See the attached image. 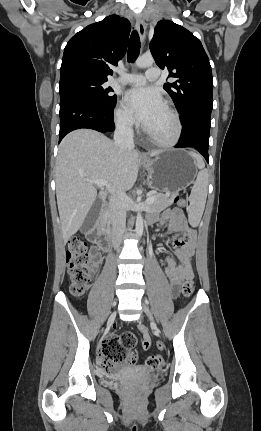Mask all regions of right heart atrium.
Here are the masks:
<instances>
[{
  "instance_id": "obj_1",
  "label": "right heart atrium",
  "mask_w": 261,
  "mask_h": 431,
  "mask_svg": "<svg viewBox=\"0 0 261 431\" xmlns=\"http://www.w3.org/2000/svg\"><path fill=\"white\" fill-rule=\"evenodd\" d=\"M114 122L119 129L130 131L136 126V122L129 110L120 103L114 112Z\"/></svg>"
}]
</instances>
